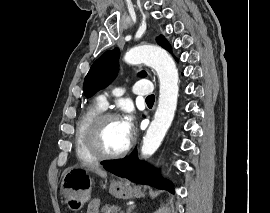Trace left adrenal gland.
I'll return each mask as SVG.
<instances>
[{
  "label": "left adrenal gland",
  "instance_id": "a2214340",
  "mask_svg": "<svg viewBox=\"0 0 270 213\" xmlns=\"http://www.w3.org/2000/svg\"><path fill=\"white\" fill-rule=\"evenodd\" d=\"M135 208V206H131L130 208H129V210H128V212L127 213H130L131 212V210L132 209H134Z\"/></svg>",
  "mask_w": 270,
  "mask_h": 213
}]
</instances>
